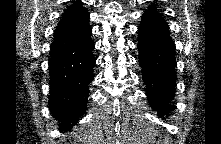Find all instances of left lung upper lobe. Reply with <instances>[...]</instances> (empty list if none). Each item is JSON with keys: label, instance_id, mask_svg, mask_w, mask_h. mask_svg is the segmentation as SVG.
I'll list each match as a JSON object with an SVG mask.
<instances>
[{"label": "left lung upper lobe", "instance_id": "obj_1", "mask_svg": "<svg viewBox=\"0 0 221 144\" xmlns=\"http://www.w3.org/2000/svg\"><path fill=\"white\" fill-rule=\"evenodd\" d=\"M156 10H157L156 7L151 6L149 8V10H147L145 13H156V14H158Z\"/></svg>", "mask_w": 221, "mask_h": 144}]
</instances>
